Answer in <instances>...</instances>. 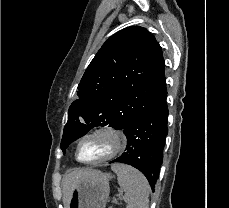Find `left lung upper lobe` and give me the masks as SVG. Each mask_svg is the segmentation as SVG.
Returning a JSON list of instances; mask_svg holds the SVG:
<instances>
[{"mask_svg":"<svg viewBox=\"0 0 229 208\" xmlns=\"http://www.w3.org/2000/svg\"><path fill=\"white\" fill-rule=\"evenodd\" d=\"M162 50L145 28L112 35L87 67L68 111L61 149L93 126L125 129L166 92Z\"/></svg>","mask_w":229,"mask_h":208,"instance_id":"left-lung-upper-lobe-1","label":"left lung upper lobe"}]
</instances>
